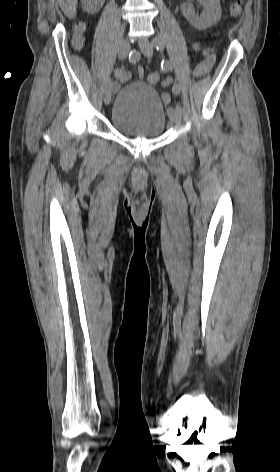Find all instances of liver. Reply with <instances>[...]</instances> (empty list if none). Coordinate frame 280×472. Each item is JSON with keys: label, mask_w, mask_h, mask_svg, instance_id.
<instances>
[{"label": "liver", "mask_w": 280, "mask_h": 472, "mask_svg": "<svg viewBox=\"0 0 280 472\" xmlns=\"http://www.w3.org/2000/svg\"><path fill=\"white\" fill-rule=\"evenodd\" d=\"M58 4L69 19L75 18L77 13V0H58Z\"/></svg>", "instance_id": "6515ba94"}]
</instances>
